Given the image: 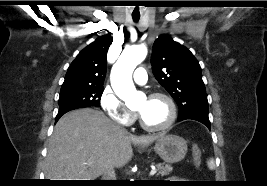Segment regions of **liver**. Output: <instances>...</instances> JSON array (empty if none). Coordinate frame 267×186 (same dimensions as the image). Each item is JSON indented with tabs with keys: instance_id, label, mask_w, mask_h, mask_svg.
<instances>
[{
	"instance_id": "liver-1",
	"label": "liver",
	"mask_w": 267,
	"mask_h": 186,
	"mask_svg": "<svg viewBox=\"0 0 267 186\" xmlns=\"http://www.w3.org/2000/svg\"><path fill=\"white\" fill-rule=\"evenodd\" d=\"M163 134L135 136L99 110L82 108L65 114L49 140L45 176L49 180H94L110 167L127 164L131 144L149 145Z\"/></svg>"
}]
</instances>
